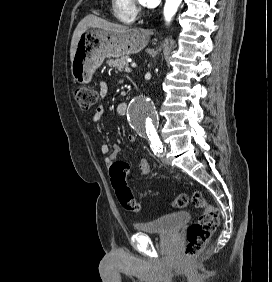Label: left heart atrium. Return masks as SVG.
I'll list each match as a JSON object with an SVG mask.
<instances>
[{
  "label": "left heart atrium",
  "instance_id": "39dd6f15",
  "mask_svg": "<svg viewBox=\"0 0 272 282\" xmlns=\"http://www.w3.org/2000/svg\"><path fill=\"white\" fill-rule=\"evenodd\" d=\"M143 5L149 8H153L160 3V0H141Z\"/></svg>",
  "mask_w": 272,
  "mask_h": 282
}]
</instances>
